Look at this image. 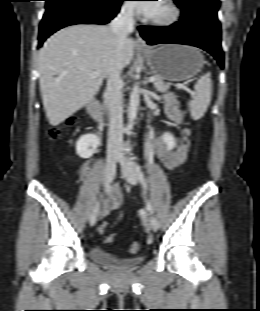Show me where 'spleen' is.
Segmentation results:
<instances>
[{
    "mask_svg": "<svg viewBox=\"0 0 260 311\" xmlns=\"http://www.w3.org/2000/svg\"><path fill=\"white\" fill-rule=\"evenodd\" d=\"M210 77V72H207L194 85L195 95L188 104L194 120L202 118L210 105L212 94V81Z\"/></svg>",
    "mask_w": 260,
    "mask_h": 311,
    "instance_id": "obj_1",
    "label": "spleen"
}]
</instances>
